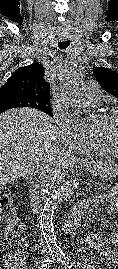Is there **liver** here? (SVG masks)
<instances>
[{
  "instance_id": "liver-1",
  "label": "liver",
  "mask_w": 118,
  "mask_h": 269,
  "mask_svg": "<svg viewBox=\"0 0 118 269\" xmlns=\"http://www.w3.org/2000/svg\"><path fill=\"white\" fill-rule=\"evenodd\" d=\"M57 128L50 116L23 107L0 114V187L46 167L55 175L80 161L57 146Z\"/></svg>"
}]
</instances>
